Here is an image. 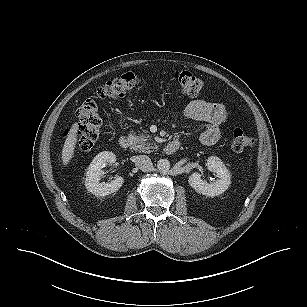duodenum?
<instances>
[{
  "instance_id": "1",
  "label": "duodenum",
  "mask_w": 307,
  "mask_h": 307,
  "mask_svg": "<svg viewBox=\"0 0 307 307\" xmlns=\"http://www.w3.org/2000/svg\"><path fill=\"white\" fill-rule=\"evenodd\" d=\"M133 143V139L129 136H122L119 139V146L122 149H128ZM180 148V141L178 139H173L169 141L165 148L164 151L167 155L174 154L178 149Z\"/></svg>"
}]
</instances>
